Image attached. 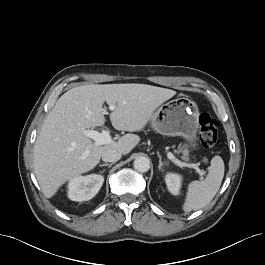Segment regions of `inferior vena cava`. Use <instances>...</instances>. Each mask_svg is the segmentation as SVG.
<instances>
[{
	"label": "inferior vena cava",
	"instance_id": "1",
	"mask_svg": "<svg viewBox=\"0 0 265 265\" xmlns=\"http://www.w3.org/2000/svg\"><path fill=\"white\" fill-rule=\"evenodd\" d=\"M121 158V153L116 150H107L102 154V160L105 162H117Z\"/></svg>",
	"mask_w": 265,
	"mask_h": 265
}]
</instances>
